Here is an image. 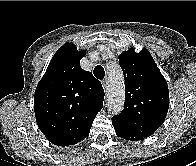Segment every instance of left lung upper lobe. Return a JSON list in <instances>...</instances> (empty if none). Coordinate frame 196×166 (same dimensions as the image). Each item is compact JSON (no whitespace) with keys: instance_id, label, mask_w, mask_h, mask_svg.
Here are the masks:
<instances>
[{"instance_id":"obj_1","label":"left lung upper lobe","mask_w":196,"mask_h":166,"mask_svg":"<svg viewBox=\"0 0 196 166\" xmlns=\"http://www.w3.org/2000/svg\"><path fill=\"white\" fill-rule=\"evenodd\" d=\"M125 79V106L112 124L132 134L148 137L164 122L169 108L168 85L146 48L119 55Z\"/></svg>"}]
</instances>
